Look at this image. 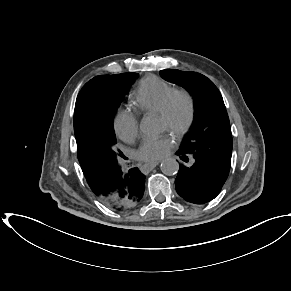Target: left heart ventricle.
Returning <instances> with one entry per match:
<instances>
[{
    "label": "left heart ventricle",
    "instance_id": "left-heart-ventricle-1",
    "mask_svg": "<svg viewBox=\"0 0 291 291\" xmlns=\"http://www.w3.org/2000/svg\"><path fill=\"white\" fill-rule=\"evenodd\" d=\"M184 117H185V114H184V112L181 110V111L178 113V115H177V121H178V122L183 121V120H184ZM159 122H160V125H161L162 129H166V124H165V122H164L161 118H159Z\"/></svg>",
    "mask_w": 291,
    "mask_h": 291
}]
</instances>
